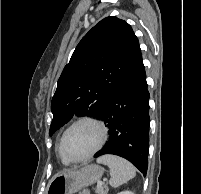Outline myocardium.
Wrapping results in <instances>:
<instances>
[{"label": "myocardium", "mask_w": 201, "mask_h": 194, "mask_svg": "<svg viewBox=\"0 0 201 194\" xmlns=\"http://www.w3.org/2000/svg\"><path fill=\"white\" fill-rule=\"evenodd\" d=\"M83 123L94 125L98 129L99 141H98L97 145L85 156L80 157V158L67 157L63 152V142L65 139V136L73 127H75L79 124H83ZM107 136H108L107 128L102 120H100L96 117H92V116L80 117V118L74 120L71 124H69L68 127L63 131V133L60 137V140H59V144H58L59 154L65 161H67L69 163H80V162L86 161V160L90 159L91 157H93L98 151H100V149L104 146V144L107 140Z\"/></svg>", "instance_id": "myocardium-1"}]
</instances>
